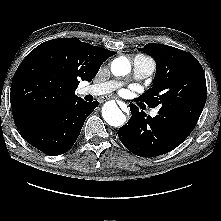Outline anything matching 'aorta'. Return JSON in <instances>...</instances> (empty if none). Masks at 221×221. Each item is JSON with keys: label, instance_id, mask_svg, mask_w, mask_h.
Here are the masks:
<instances>
[{"label": "aorta", "instance_id": "aorta-1", "mask_svg": "<svg viewBox=\"0 0 221 221\" xmlns=\"http://www.w3.org/2000/svg\"><path fill=\"white\" fill-rule=\"evenodd\" d=\"M131 70V64L126 57L115 58L111 64V72L114 76L127 75ZM104 120L114 127H120L126 122V116L114 102H107L102 109Z\"/></svg>", "mask_w": 221, "mask_h": 221}]
</instances>
